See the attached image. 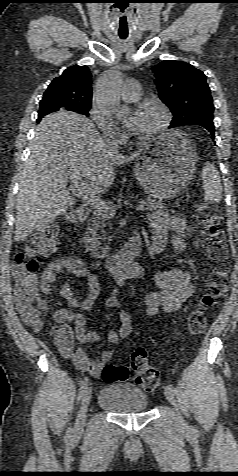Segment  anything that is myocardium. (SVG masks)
Returning <instances> with one entry per match:
<instances>
[{
    "instance_id": "myocardium-1",
    "label": "myocardium",
    "mask_w": 238,
    "mask_h": 476,
    "mask_svg": "<svg viewBox=\"0 0 238 476\" xmlns=\"http://www.w3.org/2000/svg\"><path fill=\"white\" fill-rule=\"evenodd\" d=\"M145 107H153V108L157 109L161 114V121H160L159 125L154 130H152L147 135L140 138L143 141L151 140L154 137L163 133L167 129V127L169 126L170 119H171V115H170V111H169L168 107L165 104H163L159 101L146 100V101L141 102L138 106L139 109L145 108Z\"/></svg>"
}]
</instances>
